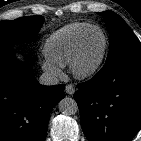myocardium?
<instances>
[{"label":"myocardium","instance_id":"myocardium-1","mask_svg":"<svg viewBox=\"0 0 141 141\" xmlns=\"http://www.w3.org/2000/svg\"><path fill=\"white\" fill-rule=\"evenodd\" d=\"M92 30H98L103 35V39H104L103 49L98 60L92 66L88 68H82L80 67V59L83 51L84 41L87 35L89 34V32H91ZM108 46H109V39L106 32L97 25L89 26L79 37L73 56L71 58L69 65L72 74L78 79H87L95 75L100 70V68L102 67L105 61L106 54L108 51Z\"/></svg>","mask_w":141,"mask_h":141}]
</instances>
